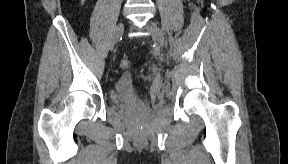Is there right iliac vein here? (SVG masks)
I'll return each mask as SVG.
<instances>
[{"instance_id":"1","label":"right iliac vein","mask_w":288,"mask_h":164,"mask_svg":"<svg viewBox=\"0 0 288 164\" xmlns=\"http://www.w3.org/2000/svg\"><path fill=\"white\" fill-rule=\"evenodd\" d=\"M123 32V24L120 22L117 24V26L114 28L112 37H111V49L114 47L115 43L120 39Z\"/></svg>"}]
</instances>
